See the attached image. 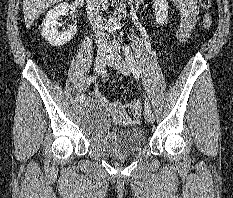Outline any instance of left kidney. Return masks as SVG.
Instances as JSON below:
<instances>
[{"instance_id":"obj_1","label":"left kidney","mask_w":233,"mask_h":198,"mask_svg":"<svg viewBox=\"0 0 233 198\" xmlns=\"http://www.w3.org/2000/svg\"><path fill=\"white\" fill-rule=\"evenodd\" d=\"M154 9H155V16H156V23L159 25H163L167 23L168 20V3L167 0H153Z\"/></svg>"}]
</instances>
